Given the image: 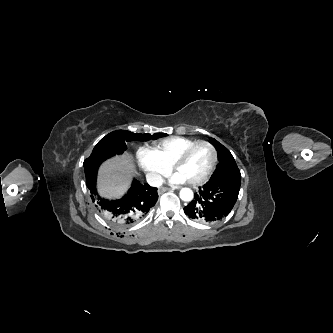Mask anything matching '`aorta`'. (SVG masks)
Returning <instances> with one entry per match:
<instances>
[{"label":"aorta","mask_w":333,"mask_h":333,"mask_svg":"<svg viewBox=\"0 0 333 333\" xmlns=\"http://www.w3.org/2000/svg\"><path fill=\"white\" fill-rule=\"evenodd\" d=\"M180 198L183 201H191L193 199V192H192V190L189 189V188H183L180 191Z\"/></svg>","instance_id":"obj_1"}]
</instances>
